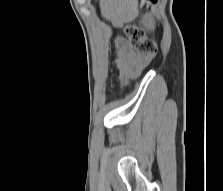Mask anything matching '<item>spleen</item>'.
I'll return each instance as SVG.
<instances>
[{
	"mask_svg": "<svg viewBox=\"0 0 223 191\" xmlns=\"http://www.w3.org/2000/svg\"><path fill=\"white\" fill-rule=\"evenodd\" d=\"M102 16L115 23L131 21L137 13L136 0H100Z\"/></svg>",
	"mask_w": 223,
	"mask_h": 191,
	"instance_id": "obj_1",
	"label": "spleen"
}]
</instances>
